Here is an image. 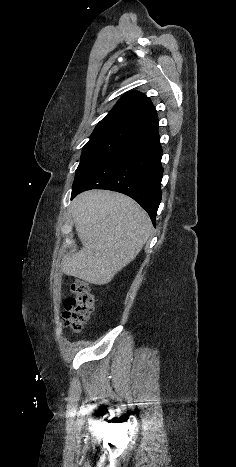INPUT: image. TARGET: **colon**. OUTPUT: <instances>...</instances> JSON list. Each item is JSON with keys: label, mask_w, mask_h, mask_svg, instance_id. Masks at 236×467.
Returning a JSON list of instances; mask_svg holds the SVG:
<instances>
[{"label": "colon", "mask_w": 236, "mask_h": 467, "mask_svg": "<svg viewBox=\"0 0 236 467\" xmlns=\"http://www.w3.org/2000/svg\"><path fill=\"white\" fill-rule=\"evenodd\" d=\"M73 296L65 300L63 313L64 324L74 331H81L94 309V297L90 285L82 279H74L71 283Z\"/></svg>", "instance_id": "5ec220e1"}]
</instances>
